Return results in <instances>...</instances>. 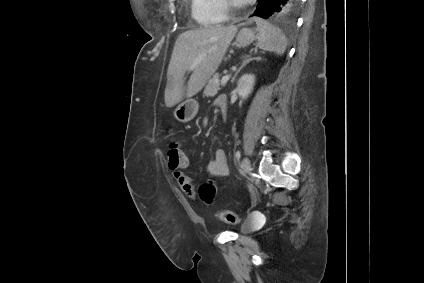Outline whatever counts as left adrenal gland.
<instances>
[{"mask_svg": "<svg viewBox=\"0 0 424 283\" xmlns=\"http://www.w3.org/2000/svg\"><path fill=\"white\" fill-rule=\"evenodd\" d=\"M248 57V59H245V60H243V63H242V65H241V67L236 71V73H235V75L233 76V78H232V82L235 80V78L237 77V75H238V73H240V71L247 65V64H249L251 61H253V60H257V61H261V57H256V58H254V57H251V55L250 56H247Z\"/></svg>", "mask_w": 424, "mask_h": 283, "instance_id": "1", "label": "left adrenal gland"}]
</instances>
